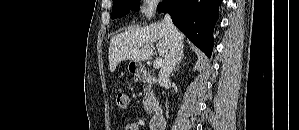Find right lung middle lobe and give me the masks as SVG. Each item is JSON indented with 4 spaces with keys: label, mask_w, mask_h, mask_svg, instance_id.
I'll use <instances>...</instances> for the list:
<instances>
[{
    "label": "right lung middle lobe",
    "mask_w": 299,
    "mask_h": 130,
    "mask_svg": "<svg viewBox=\"0 0 299 130\" xmlns=\"http://www.w3.org/2000/svg\"><path fill=\"white\" fill-rule=\"evenodd\" d=\"M140 0H115L112 7V19L121 18L128 13V10H139Z\"/></svg>",
    "instance_id": "1"
}]
</instances>
